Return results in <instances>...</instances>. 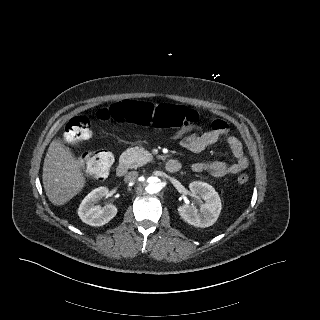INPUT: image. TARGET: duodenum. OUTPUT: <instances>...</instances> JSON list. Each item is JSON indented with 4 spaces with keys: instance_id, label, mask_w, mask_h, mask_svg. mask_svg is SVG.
<instances>
[{
    "instance_id": "duodenum-1",
    "label": "duodenum",
    "mask_w": 320,
    "mask_h": 320,
    "mask_svg": "<svg viewBox=\"0 0 320 320\" xmlns=\"http://www.w3.org/2000/svg\"><path fill=\"white\" fill-rule=\"evenodd\" d=\"M181 169V163L175 159H170L165 163V170L168 173H177ZM119 177H123L128 173V165L121 161L116 168Z\"/></svg>"
}]
</instances>
